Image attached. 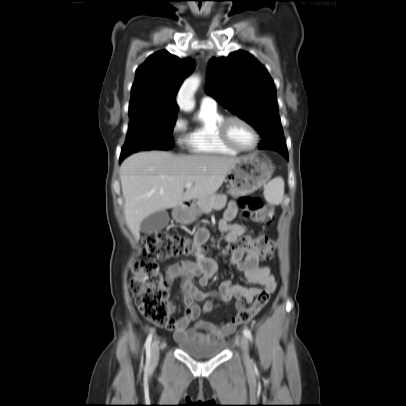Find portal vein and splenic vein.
<instances>
[{
    "instance_id": "1",
    "label": "portal vein and splenic vein",
    "mask_w": 406,
    "mask_h": 406,
    "mask_svg": "<svg viewBox=\"0 0 406 406\" xmlns=\"http://www.w3.org/2000/svg\"><path fill=\"white\" fill-rule=\"evenodd\" d=\"M192 183H187L186 185H185V188H191L192 187Z\"/></svg>"
}]
</instances>
